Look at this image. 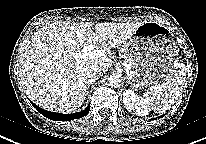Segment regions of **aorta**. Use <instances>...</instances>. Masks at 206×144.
I'll return each instance as SVG.
<instances>
[{
  "label": "aorta",
  "mask_w": 206,
  "mask_h": 144,
  "mask_svg": "<svg viewBox=\"0 0 206 144\" xmlns=\"http://www.w3.org/2000/svg\"><path fill=\"white\" fill-rule=\"evenodd\" d=\"M108 84L111 87H119L121 84V79L117 75H112L108 78Z\"/></svg>",
  "instance_id": "762f6f07"
}]
</instances>
